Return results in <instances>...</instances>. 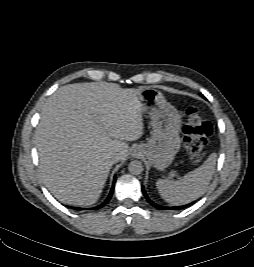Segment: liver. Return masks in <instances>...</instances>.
<instances>
[{
  "label": "liver",
  "instance_id": "obj_1",
  "mask_svg": "<svg viewBox=\"0 0 254 267\" xmlns=\"http://www.w3.org/2000/svg\"><path fill=\"white\" fill-rule=\"evenodd\" d=\"M143 88L90 82L61 86L45 102L34 140L39 178L65 204L91 205L102 192L118 153L144 134Z\"/></svg>",
  "mask_w": 254,
  "mask_h": 267
}]
</instances>
